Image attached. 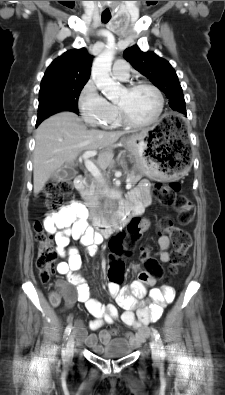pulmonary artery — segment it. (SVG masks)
I'll return each instance as SVG.
<instances>
[{"instance_id":"e3ab8cb5","label":"pulmonary artery","mask_w":225,"mask_h":395,"mask_svg":"<svg viewBox=\"0 0 225 395\" xmlns=\"http://www.w3.org/2000/svg\"><path fill=\"white\" fill-rule=\"evenodd\" d=\"M112 75L114 78L118 80H122V81L127 80L129 76L128 63L124 60L116 61L112 69Z\"/></svg>"}]
</instances>
